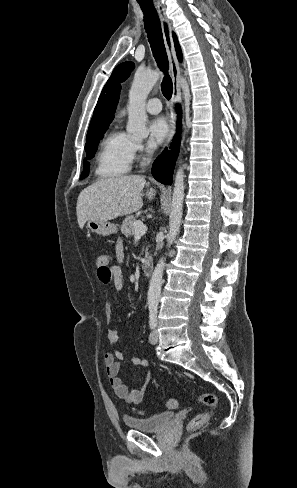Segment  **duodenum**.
Returning a JSON list of instances; mask_svg holds the SVG:
<instances>
[{
  "mask_svg": "<svg viewBox=\"0 0 297 488\" xmlns=\"http://www.w3.org/2000/svg\"><path fill=\"white\" fill-rule=\"evenodd\" d=\"M142 269L146 275L151 274V272L153 270V260L151 257H148L145 259L143 266H142Z\"/></svg>",
  "mask_w": 297,
  "mask_h": 488,
  "instance_id": "duodenum-1",
  "label": "duodenum"
}]
</instances>
